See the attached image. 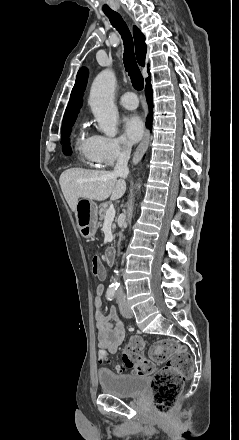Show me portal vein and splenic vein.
I'll list each match as a JSON object with an SVG mask.
<instances>
[{
  "label": "portal vein and splenic vein",
  "mask_w": 239,
  "mask_h": 440,
  "mask_svg": "<svg viewBox=\"0 0 239 440\" xmlns=\"http://www.w3.org/2000/svg\"><path fill=\"white\" fill-rule=\"evenodd\" d=\"M115 218V208L114 206H110L106 212L105 222H113Z\"/></svg>",
  "instance_id": "1"
}]
</instances>
